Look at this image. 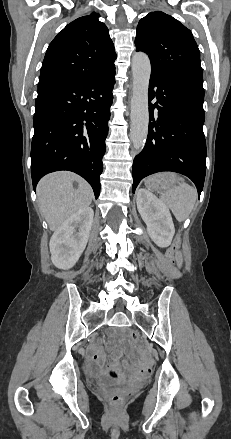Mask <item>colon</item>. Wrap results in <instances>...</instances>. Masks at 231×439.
I'll use <instances>...</instances> for the list:
<instances>
[{
  "mask_svg": "<svg viewBox=\"0 0 231 439\" xmlns=\"http://www.w3.org/2000/svg\"><path fill=\"white\" fill-rule=\"evenodd\" d=\"M179 244H180V238L178 237L171 248V253H174L178 249ZM129 338L135 343H138L140 341V335L136 331H131L129 333ZM126 397H127L126 393L121 390H114L109 395L110 402L113 405H117V406L121 405L126 399Z\"/></svg>",
  "mask_w": 231,
  "mask_h": 439,
  "instance_id": "1",
  "label": "colon"
}]
</instances>
